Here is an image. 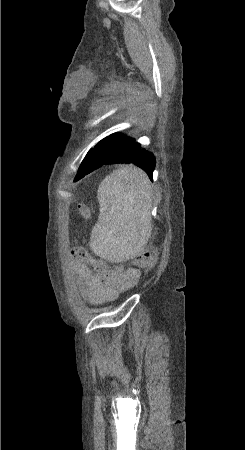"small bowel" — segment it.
Returning <instances> with one entry per match:
<instances>
[{"label": "small bowel", "mask_w": 245, "mask_h": 450, "mask_svg": "<svg viewBox=\"0 0 245 450\" xmlns=\"http://www.w3.org/2000/svg\"><path fill=\"white\" fill-rule=\"evenodd\" d=\"M71 267L76 274L83 295L93 304L114 300L120 293L133 287L140 278V270L106 269L97 272L88 263L78 261L72 252Z\"/></svg>", "instance_id": "c3829d8e"}]
</instances>
